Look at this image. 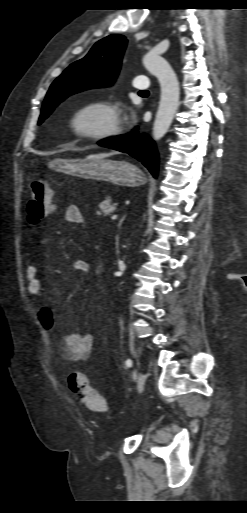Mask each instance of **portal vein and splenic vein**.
<instances>
[{
  "instance_id": "18ae733b",
  "label": "portal vein and splenic vein",
  "mask_w": 247,
  "mask_h": 513,
  "mask_svg": "<svg viewBox=\"0 0 247 513\" xmlns=\"http://www.w3.org/2000/svg\"><path fill=\"white\" fill-rule=\"evenodd\" d=\"M116 219H117V215H113V216L111 217V220H116Z\"/></svg>"
}]
</instances>
